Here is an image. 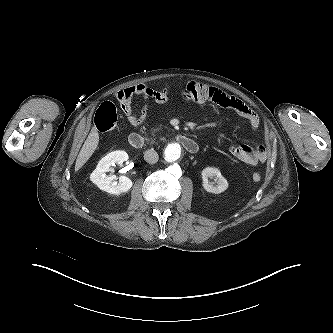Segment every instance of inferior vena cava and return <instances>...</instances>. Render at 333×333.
I'll return each mask as SVG.
<instances>
[{
  "label": "inferior vena cava",
  "mask_w": 333,
  "mask_h": 333,
  "mask_svg": "<svg viewBox=\"0 0 333 333\" xmlns=\"http://www.w3.org/2000/svg\"><path fill=\"white\" fill-rule=\"evenodd\" d=\"M159 159L157 152L152 148L144 153V160L150 164H155Z\"/></svg>",
  "instance_id": "1"
}]
</instances>
